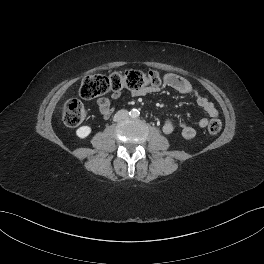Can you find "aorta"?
I'll return each mask as SVG.
<instances>
[{
	"instance_id": "obj_1",
	"label": "aorta",
	"mask_w": 264,
	"mask_h": 264,
	"mask_svg": "<svg viewBox=\"0 0 264 264\" xmlns=\"http://www.w3.org/2000/svg\"><path fill=\"white\" fill-rule=\"evenodd\" d=\"M139 115H140V112H139V110H137V109H132V110L130 111V116H131L132 118H137V117H139Z\"/></svg>"
}]
</instances>
